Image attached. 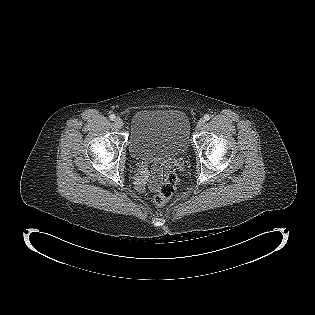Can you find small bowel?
Masks as SVG:
<instances>
[{
    "mask_svg": "<svg viewBox=\"0 0 315 315\" xmlns=\"http://www.w3.org/2000/svg\"><path fill=\"white\" fill-rule=\"evenodd\" d=\"M148 177H149V172L147 171V169L142 168L141 172H140V175L136 179L137 185L140 188H143L146 185V183H147ZM162 180H163V177L161 175V170L158 167H156L154 169L153 176H152V178H151V180L149 182L150 188L153 189V190L158 189L159 186L162 183Z\"/></svg>",
    "mask_w": 315,
    "mask_h": 315,
    "instance_id": "1",
    "label": "small bowel"
}]
</instances>
